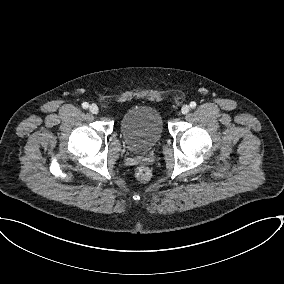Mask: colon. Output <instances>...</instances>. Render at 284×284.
<instances>
[{"label":"colon","instance_id":"5ec220e1","mask_svg":"<svg viewBox=\"0 0 284 284\" xmlns=\"http://www.w3.org/2000/svg\"><path fill=\"white\" fill-rule=\"evenodd\" d=\"M136 178L141 182H146L151 177V171L146 166H139L135 171Z\"/></svg>","mask_w":284,"mask_h":284}]
</instances>
